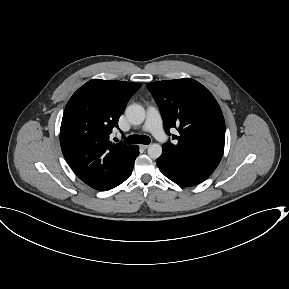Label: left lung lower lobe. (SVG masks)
I'll return each instance as SVG.
<instances>
[{"label": "left lung lower lobe", "instance_id": "0a47b994", "mask_svg": "<svg viewBox=\"0 0 289 289\" xmlns=\"http://www.w3.org/2000/svg\"><path fill=\"white\" fill-rule=\"evenodd\" d=\"M157 165L167 178L181 186L199 184L215 169L194 162H179L165 155L157 159Z\"/></svg>", "mask_w": 289, "mask_h": 289}]
</instances>
